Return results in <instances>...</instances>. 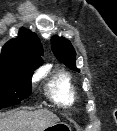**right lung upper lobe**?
Listing matches in <instances>:
<instances>
[{
  "label": "right lung upper lobe",
  "mask_w": 117,
  "mask_h": 131,
  "mask_svg": "<svg viewBox=\"0 0 117 131\" xmlns=\"http://www.w3.org/2000/svg\"><path fill=\"white\" fill-rule=\"evenodd\" d=\"M42 45L38 36L30 30L21 28L16 39L9 40L2 48L0 68L24 67L32 75L43 63Z\"/></svg>",
  "instance_id": "obj_1"
}]
</instances>
